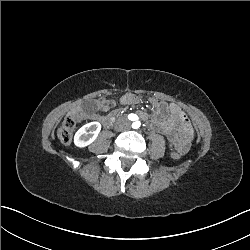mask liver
I'll list each match as a JSON object with an SVG mask.
<instances>
[{"label":"liver","mask_w":250,"mask_h":250,"mask_svg":"<svg viewBox=\"0 0 250 250\" xmlns=\"http://www.w3.org/2000/svg\"><path fill=\"white\" fill-rule=\"evenodd\" d=\"M75 110H71L70 112H68V116L71 115Z\"/></svg>","instance_id":"liver-1"}]
</instances>
